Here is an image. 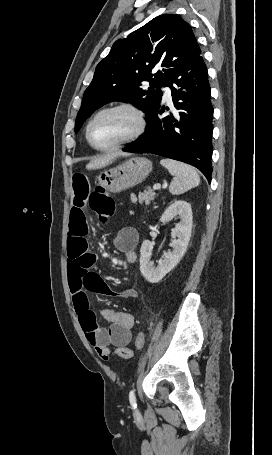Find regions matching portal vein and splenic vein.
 Returning a JSON list of instances; mask_svg holds the SVG:
<instances>
[{"mask_svg":"<svg viewBox=\"0 0 272 455\" xmlns=\"http://www.w3.org/2000/svg\"><path fill=\"white\" fill-rule=\"evenodd\" d=\"M153 188H154L155 190H158V189L161 188V185H160V184H155V185L153 186Z\"/></svg>","mask_w":272,"mask_h":455,"instance_id":"portal-vein-and-splenic-vein-1","label":"portal vein and splenic vein"}]
</instances>
